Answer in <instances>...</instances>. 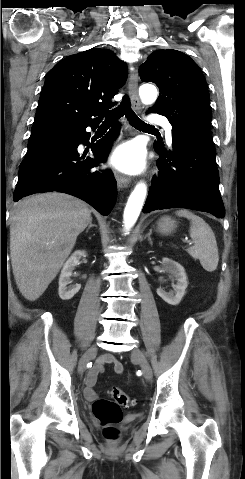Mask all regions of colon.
Segmentation results:
<instances>
[{"instance_id": "1", "label": "colon", "mask_w": 245, "mask_h": 479, "mask_svg": "<svg viewBox=\"0 0 245 479\" xmlns=\"http://www.w3.org/2000/svg\"><path fill=\"white\" fill-rule=\"evenodd\" d=\"M133 403L129 395L118 388L111 391L110 399L99 398L95 400L92 407L93 415L103 426V434L106 439L110 441L118 439L119 430L117 425L122 421V408Z\"/></svg>"}]
</instances>
